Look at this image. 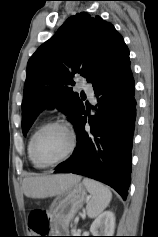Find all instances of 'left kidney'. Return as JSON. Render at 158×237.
Instances as JSON below:
<instances>
[{"instance_id": "left-kidney-1", "label": "left kidney", "mask_w": 158, "mask_h": 237, "mask_svg": "<svg viewBox=\"0 0 158 237\" xmlns=\"http://www.w3.org/2000/svg\"><path fill=\"white\" fill-rule=\"evenodd\" d=\"M115 229V216L112 211L100 214L91 224L92 236H113Z\"/></svg>"}]
</instances>
